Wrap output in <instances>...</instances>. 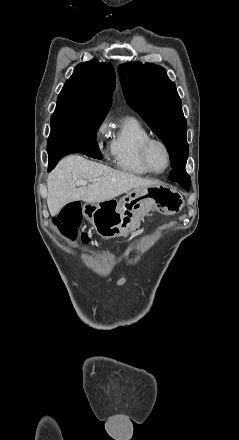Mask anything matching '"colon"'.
I'll list each match as a JSON object with an SVG mask.
<instances>
[{"mask_svg": "<svg viewBox=\"0 0 239 440\" xmlns=\"http://www.w3.org/2000/svg\"><path fill=\"white\" fill-rule=\"evenodd\" d=\"M54 225L60 233L70 240L80 236L83 243L90 241L88 232L79 234L78 228L81 225V206L79 203H69L63 207L59 214L53 219Z\"/></svg>", "mask_w": 239, "mask_h": 440, "instance_id": "1", "label": "colon"}]
</instances>
